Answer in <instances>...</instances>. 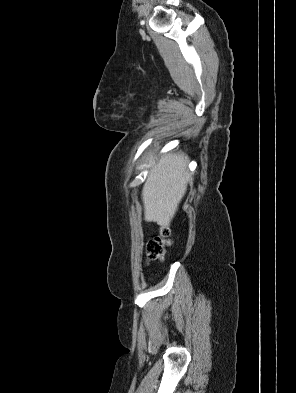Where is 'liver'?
Instances as JSON below:
<instances>
[{
  "label": "liver",
  "mask_w": 296,
  "mask_h": 393,
  "mask_svg": "<svg viewBox=\"0 0 296 393\" xmlns=\"http://www.w3.org/2000/svg\"><path fill=\"white\" fill-rule=\"evenodd\" d=\"M189 159L182 153L161 157L151 169L143 186L144 220L168 227L192 180L187 171Z\"/></svg>",
  "instance_id": "6515ba94"
}]
</instances>
